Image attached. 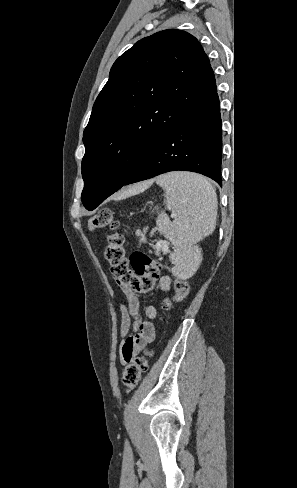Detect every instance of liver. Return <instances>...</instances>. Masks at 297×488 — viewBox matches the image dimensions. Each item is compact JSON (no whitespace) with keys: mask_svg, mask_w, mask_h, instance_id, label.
<instances>
[{"mask_svg":"<svg viewBox=\"0 0 297 488\" xmlns=\"http://www.w3.org/2000/svg\"><path fill=\"white\" fill-rule=\"evenodd\" d=\"M148 186H149V183L148 184H142L138 188L144 189V188H147Z\"/></svg>","mask_w":297,"mask_h":488,"instance_id":"obj_1","label":"liver"}]
</instances>
